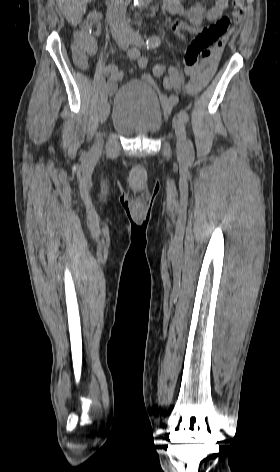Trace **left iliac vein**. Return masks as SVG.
Returning <instances> with one entry per match:
<instances>
[{
	"label": "left iliac vein",
	"mask_w": 280,
	"mask_h": 472,
	"mask_svg": "<svg viewBox=\"0 0 280 472\" xmlns=\"http://www.w3.org/2000/svg\"><path fill=\"white\" fill-rule=\"evenodd\" d=\"M129 42L135 46H142L144 44L143 38L137 33L132 32L129 36ZM173 126L175 128V134L177 139V150L184 153L188 149V140L186 136V130L183 121L178 117L173 120Z\"/></svg>",
	"instance_id": "obj_1"
}]
</instances>
